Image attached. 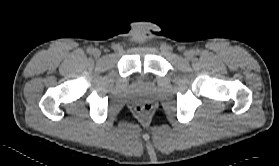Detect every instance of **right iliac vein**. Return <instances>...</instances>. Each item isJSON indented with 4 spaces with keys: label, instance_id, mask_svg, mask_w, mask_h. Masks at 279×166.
Here are the masks:
<instances>
[{
    "label": "right iliac vein",
    "instance_id": "obj_1",
    "mask_svg": "<svg viewBox=\"0 0 279 166\" xmlns=\"http://www.w3.org/2000/svg\"><path fill=\"white\" fill-rule=\"evenodd\" d=\"M93 55H94L95 57H99V56L101 55L100 50H99V49H94V50H93Z\"/></svg>",
    "mask_w": 279,
    "mask_h": 166
}]
</instances>
